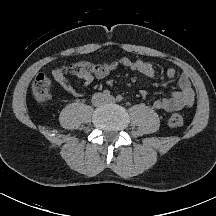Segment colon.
Returning <instances> with one entry per match:
<instances>
[{"instance_id": "obj_1", "label": "colon", "mask_w": 216, "mask_h": 216, "mask_svg": "<svg viewBox=\"0 0 216 216\" xmlns=\"http://www.w3.org/2000/svg\"><path fill=\"white\" fill-rule=\"evenodd\" d=\"M106 65H99L93 62H79L71 67L77 74H94L103 69ZM52 83L49 77L44 74L36 76L32 83V94L39 104H45L51 99ZM184 116L180 112L170 115L168 124L170 127H179L183 124Z\"/></svg>"}]
</instances>
